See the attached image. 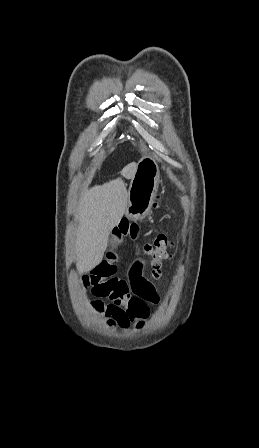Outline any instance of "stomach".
<instances>
[{
	"instance_id": "0dacf381",
	"label": "stomach",
	"mask_w": 259,
	"mask_h": 448,
	"mask_svg": "<svg viewBox=\"0 0 259 448\" xmlns=\"http://www.w3.org/2000/svg\"><path fill=\"white\" fill-rule=\"evenodd\" d=\"M159 166L152 156H143L137 164L128 190L127 216L129 220H142L150 212L159 186Z\"/></svg>"
}]
</instances>
